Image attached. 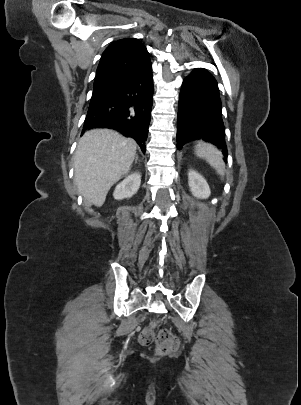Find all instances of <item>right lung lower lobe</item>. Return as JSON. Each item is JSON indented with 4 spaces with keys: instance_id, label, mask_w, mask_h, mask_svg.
Returning a JSON list of instances; mask_svg holds the SVG:
<instances>
[{
    "instance_id": "98d812e1",
    "label": "right lung lower lobe",
    "mask_w": 301,
    "mask_h": 405,
    "mask_svg": "<svg viewBox=\"0 0 301 405\" xmlns=\"http://www.w3.org/2000/svg\"><path fill=\"white\" fill-rule=\"evenodd\" d=\"M153 77L150 59L101 102L89 106L83 130L109 128L132 137L145 152L152 109Z\"/></svg>"
}]
</instances>
